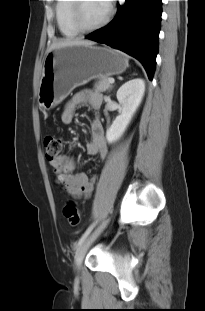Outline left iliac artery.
<instances>
[{"instance_id":"44dca946","label":"left iliac artery","mask_w":205,"mask_h":311,"mask_svg":"<svg viewBox=\"0 0 205 311\" xmlns=\"http://www.w3.org/2000/svg\"><path fill=\"white\" fill-rule=\"evenodd\" d=\"M95 224L90 225L87 230L84 232V234L81 236V238L79 239L76 247H79L83 241L87 238V236L90 234V232L92 231V229L94 228Z\"/></svg>"}]
</instances>
